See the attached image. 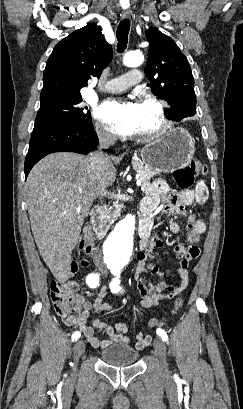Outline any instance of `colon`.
Wrapping results in <instances>:
<instances>
[{"label": "colon", "instance_id": "colon-1", "mask_svg": "<svg viewBox=\"0 0 243 409\" xmlns=\"http://www.w3.org/2000/svg\"><path fill=\"white\" fill-rule=\"evenodd\" d=\"M205 173L206 166L201 161L195 160L178 169L174 173V180L178 187L186 189L193 184L196 177ZM93 243V235L87 232L81 239L79 248L84 254H90L93 249ZM87 265L88 261L85 258L74 259L71 265V272L76 273ZM78 287V283L75 280L65 282L52 281L50 284L51 300L55 311L67 324L76 323L80 314V309L74 301V294L77 292ZM183 304L184 301L182 298H176L172 305V314L181 310ZM163 323L164 319L153 318L148 321V327H160Z\"/></svg>", "mask_w": 243, "mask_h": 409}]
</instances>
